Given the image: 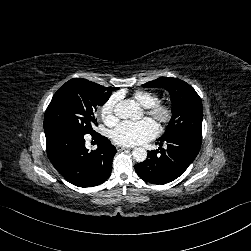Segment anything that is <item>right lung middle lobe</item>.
Wrapping results in <instances>:
<instances>
[{
	"label": "right lung middle lobe",
	"mask_w": 251,
	"mask_h": 251,
	"mask_svg": "<svg viewBox=\"0 0 251 251\" xmlns=\"http://www.w3.org/2000/svg\"><path fill=\"white\" fill-rule=\"evenodd\" d=\"M113 89L86 79L66 82L53 96L44 116V130L63 127L83 135L93 134L94 110L105 104Z\"/></svg>",
	"instance_id": "1"
}]
</instances>
